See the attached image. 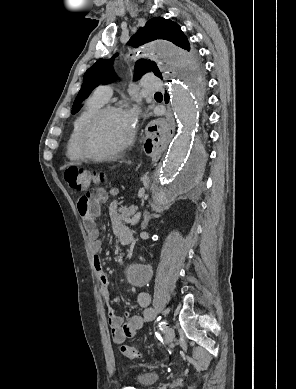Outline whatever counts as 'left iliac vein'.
Segmentation results:
<instances>
[{"instance_id":"1","label":"left iliac vein","mask_w":296,"mask_h":389,"mask_svg":"<svg viewBox=\"0 0 296 389\" xmlns=\"http://www.w3.org/2000/svg\"><path fill=\"white\" fill-rule=\"evenodd\" d=\"M174 336H175L174 329L169 327L165 332V342L167 344L171 343L174 339Z\"/></svg>"}]
</instances>
